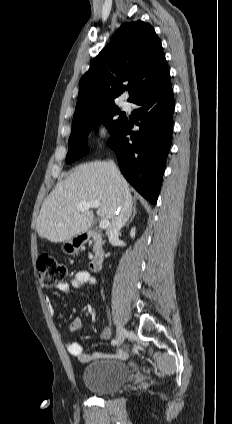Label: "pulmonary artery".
<instances>
[{"label": "pulmonary artery", "mask_w": 232, "mask_h": 424, "mask_svg": "<svg viewBox=\"0 0 232 424\" xmlns=\"http://www.w3.org/2000/svg\"><path fill=\"white\" fill-rule=\"evenodd\" d=\"M122 107H123V109H125V110H129V109H130V104H129L128 102L124 101V102L122 103Z\"/></svg>", "instance_id": "obj_1"}]
</instances>
